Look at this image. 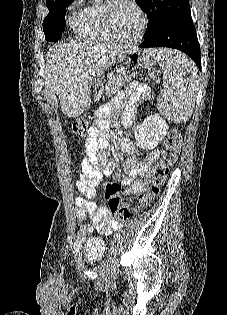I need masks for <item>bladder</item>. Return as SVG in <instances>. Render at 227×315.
Wrapping results in <instances>:
<instances>
[{"label":"bladder","mask_w":227,"mask_h":315,"mask_svg":"<svg viewBox=\"0 0 227 315\" xmlns=\"http://www.w3.org/2000/svg\"><path fill=\"white\" fill-rule=\"evenodd\" d=\"M105 252V242L99 238L89 239L85 244V259L88 263L99 262L103 259Z\"/></svg>","instance_id":"1"}]
</instances>
